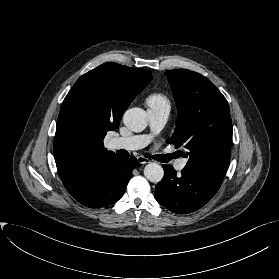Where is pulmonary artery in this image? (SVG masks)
<instances>
[{"label": "pulmonary artery", "mask_w": 279, "mask_h": 279, "mask_svg": "<svg viewBox=\"0 0 279 279\" xmlns=\"http://www.w3.org/2000/svg\"><path fill=\"white\" fill-rule=\"evenodd\" d=\"M148 118L152 131H160L166 124L169 117L168 108L148 109ZM150 141L149 135H134L129 137H117L111 140L113 149H125L134 151L145 147ZM186 166V160L179 159L175 162L174 167L177 171H181Z\"/></svg>", "instance_id": "e3ab8cb5"}]
</instances>
